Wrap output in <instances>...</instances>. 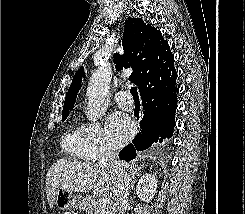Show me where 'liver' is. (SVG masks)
Listing matches in <instances>:
<instances>
[{
	"instance_id": "liver-1",
	"label": "liver",
	"mask_w": 245,
	"mask_h": 214,
	"mask_svg": "<svg viewBox=\"0 0 245 214\" xmlns=\"http://www.w3.org/2000/svg\"><path fill=\"white\" fill-rule=\"evenodd\" d=\"M132 169V166L129 165ZM116 175L95 163H84L71 159H59L46 174V196L50 208L55 204L59 188L86 193L93 189L99 196L113 197Z\"/></svg>"
}]
</instances>
